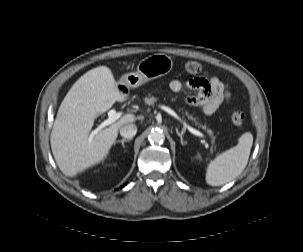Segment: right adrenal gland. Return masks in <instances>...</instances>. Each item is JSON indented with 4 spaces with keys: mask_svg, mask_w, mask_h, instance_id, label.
<instances>
[{
    "mask_svg": "<svg viewBox=\"0 0 303 252\" xmlns=\"http://www.w3.org/2000/svg\"><path fill=\"white\" fill-rule=\"evenodd\" d=\"M132 139L131 138H129V139H126V138H124V139H122V140H117L116 142H114V145L116 144V143H121L122 144V146L125 148V145H124V143L125 142H129V141H131Z\"/></svg>",
    "mask_w": 303,
    "mask_h": 252,
    "instance_id": "right-adrenal-gland-1",
    "label": "right adrenal gland"
}]
</instances>
